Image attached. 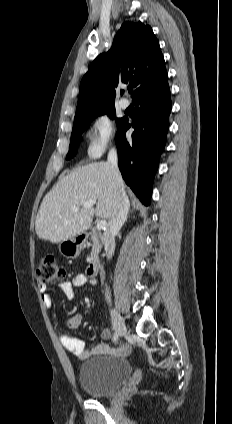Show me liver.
I'll list each match as a JSON object with an SVG mask.
<instances>
[{"label":"liver","instance_id":"obj_1","mask_svg":"<svg viewBox=\"0 0 232 424\" xmlns=\"http://www.w3.org/2000/svg\"><path fill=\"white\" fill-rule=\"evenodd\" d=\"M115 186L107 162L74 169L44 197L35 221L37 236L60 243L88 230L94 215L110 219L115 207ZM119 186L124 191L123 179ZM91 200L97 201L96 208L83 207ZM74 207L78 211H73Z\"/></svg>","mask_w":232,"mask_h":424}]
</instances>
